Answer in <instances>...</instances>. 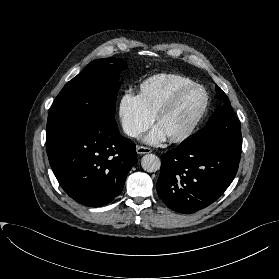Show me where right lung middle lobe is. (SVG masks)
<instances>
[{"instance_id": "dd1d6c3e", "label": "right lung middle lobe", "mask_w": 279, "mask_h": 279, "mask_svg": "<svg viewBox=\"0 0 279 279\" xmlns=\"http://www.w3.org/2000/svg\"><path fill=\"white\" fill-rule=\"evenodd\" d=\"M125 64L113 57L97 59L70 80L51 107L46 139L91 120L116 122L118 81Z\"/></svg>"}]
</instances>
